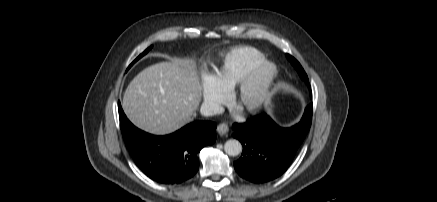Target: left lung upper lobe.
<instances>
[{
	"instance_id": "left-lung-upper-lobe-1",
	"label": "left lung upper lobe",
	"mask_w": 437,
	"mask_h": 202,
	"mask_svg": "<svg viewBox=\"0 0 437 202\" xmlns=\"http://www.w3.org/2000/svg\"><path fill=\"white\" fill-rule=\"evenodd\" d=\"M286 57L292 63V65L295 67V69L298 71L300 77L306 82V84L310 88L308 77H307L305 71L303 70L302 66L300 65V63L294 57H292L289 54H286Z\"/></svg>"
}]
</instances>
